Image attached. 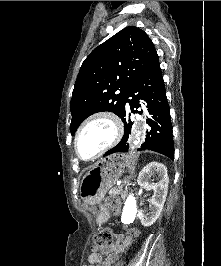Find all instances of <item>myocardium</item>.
Here are the masks:
<instances>
[{
	"instance_id": "obj_1",
	"label": "myocardium",
	"mask_w": 221,
	"mask_h": 266,
	"mask_svg": "<svg viewBox=\"0 0 221 266\" xmlns=\"http://www.w3.org/2000/svg\"><path fill=\"white\" fill-rule=\"evenodd\" d=\"M99 118H105L108 119L113 127H114V135L112 140L105 146L103 147L98 153H96L94 156L90 157V158H85L83 157L80 152H79V148H78V140L80 135L82 134L83 130L85 129V127L90 124L92 121L99 119ZM124 132V126L123 123L121 121V119L113 112L110 111H99L96 112L92 115H90L80 126V128L78 129L75 139H74V149L75 152L77 154V156L84 160V161H93L97 158H99L101 155H103L106 151H108L110 148H112L122 137Z\"/></svg>"
}]
</instances>
